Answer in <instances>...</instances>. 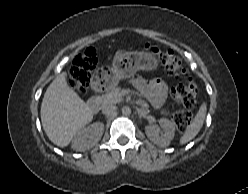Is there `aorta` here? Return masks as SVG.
Returning a JSON list of instances; mask_svg holds the SVG:
<instances>
[{
    "mask_svg": "<svg viewBox=\"0 0 248 194\" xmlns=\"http://www.w3.org/2000/svg\"><path fill=\"white\" fill-rule=\"evenodd\" d=\"M121 111H122V114L125 116L131 114V108L129 106H123Z\"/></svg>",
    "mask_w": 248,
    "mask_h": 194,
    "instance_id": "obj_1",
    "label": "aorta"
}]
</instances>
